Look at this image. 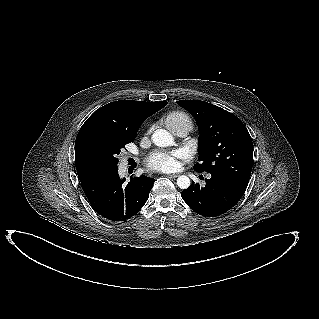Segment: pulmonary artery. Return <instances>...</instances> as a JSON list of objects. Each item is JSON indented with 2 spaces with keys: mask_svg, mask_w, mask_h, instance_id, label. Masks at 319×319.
<instances>
[{
  "mask_svg": "<svg viewBox=\"0 0 319 319\" xmlns=\"http://www.w3.org/2000/svg\"><path fill=\"white\" fill-rule=\"evenodd\" d=\"M171 131L178 137H185L188 133V130L184 127H176Z\"/></svg>",
  "mask_w": 319,
  "mask_h": 319,
  "instance_id": "pulmonary-artery-1",
  "label": "pulmonary artery"
}]
</instances>
